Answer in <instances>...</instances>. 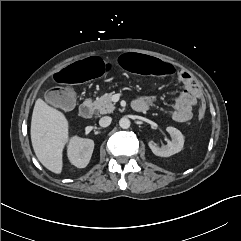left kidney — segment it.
I'll list each match as a JSON object with an SVG mask.
<instances>
[{"mask_svg": "<svg viewBox=\"0 0 241 241\" xmlns=\"http://www.w3.org/2000/svg\"><path fill=\"white\" fill-rule=\"evenodd\" d=\"M166 131L172 138L166 146L159 148L153 141L148 142L149 148L156 156L169 157L180 152L183 148L184 137L182 133L174 127H167Z\"/></svg>", "mask_w": 241, "mask_h": 241, "instance_id": "1", "label": "left kidney"}]
</instances>
